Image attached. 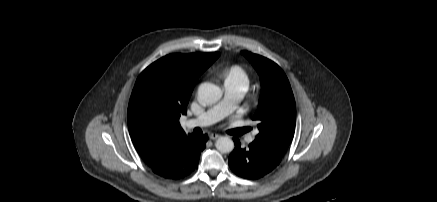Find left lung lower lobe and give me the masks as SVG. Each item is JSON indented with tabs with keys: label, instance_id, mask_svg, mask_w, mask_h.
Wrapping results in <instances>:
<instances>
[{
	"label": "left lung lower lobe",
	"instance_id": "left-lung-lower-lobe-1",
	"mask_svg": "<svg viewBox=\"0 0 437 202\" xmlns=\"http://www.w3.org/2000/svg\"><path fill=\"white\" fill-rule=\"evenodd\" d=\"M235 149L229 156V166L238 176L247 179H258L274 170L280 162L269 157L258 146L251 143L242 148L240 141L233 138Z\"/></svg>",
	"mask_w": 437,
	"mask_h": 202
}]
</instances>
